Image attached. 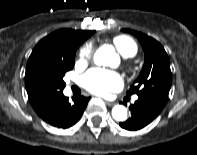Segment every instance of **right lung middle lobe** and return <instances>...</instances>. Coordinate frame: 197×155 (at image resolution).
<instances>
[{"label":"right lung middle lobe","instance_id":"dd1d6c3e","mask_svg":"<svg viewBox=\"0 0 197 155\" xmlns=\"http://www.w3.org/2000/svg\"><path fill=\"white\" fill-rule=\"evenodd\" d=\"M75 48L40 51L30 56L26 66L25 86L37 96H58L63 93L65 73L74 67Z\"/></svg>","mask_w":197,"mask_h":155}]
</instances>
